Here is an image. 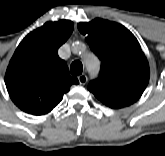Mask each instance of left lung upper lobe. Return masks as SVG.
<instances>
[{"label": "left lung upper lobe", "mask_w": 165, "mask_h": 156, "mask_svg": "<svg viewBox=\"0 0 165 156\" xmlns=\"http://www.w3.org/2000/svg\"><path fill=\"white\" fill-rule=\"evenodd\" d=\"M92 51L101 60L100 76L88 89L113 109L129 106L144 92L149 81V64L135 36L124 26L94 19L79 23Z\"/></svg>", "instance_id": "1"}]
</instances>
